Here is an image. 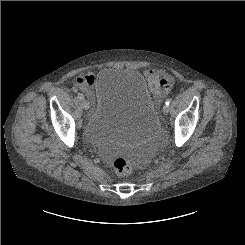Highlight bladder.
I'll use <instances>...</instances> for the list:
<instances>
[{
    "instance_id": "bladder-1",
    "label": "bladder",
    "mask_w": 245,
    "mask_h": 245,
    "mask_svg": "<svg viewBox=\"0 0 245 245\" xmlns=\"http://www.w3.org/2000/svg\"><path fill=\"white\" fill-rule=\"evenodd\" d=\"M93 109L82 129L90 144L131 145L156 132L160 119L143 76L134 68L108 66L95 80Z\"/></svg>"
}]
</instances>
